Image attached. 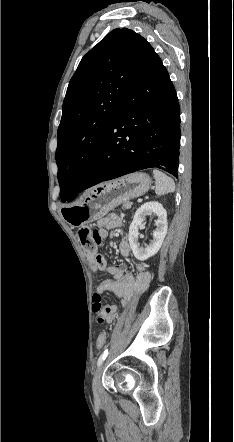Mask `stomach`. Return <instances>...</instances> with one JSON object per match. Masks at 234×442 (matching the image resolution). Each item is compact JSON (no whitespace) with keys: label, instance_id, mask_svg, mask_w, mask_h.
Segmentation results:
<instances>
[{"label":"stomach","instance_id":"stomach-1","mask_svg":"<svg viewBox=\"0 0 234 442\" xmlns=\"http://www.w3.org/2000/svg\"><path fill=\"white\" fill-rule=\"evenodd\" d=\"M151 185L143 172L126 175L92 188L77 204L63 208L62 215L71 226H80L102 218L108 211L145 194Z\"/></svg>","mask_w":234,"mask_h":442}]
</instances>
